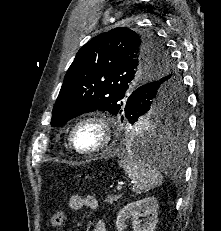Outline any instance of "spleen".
I'll list each match as a JSON object with an SVG mask.
<instances>
[{"label": "spleen", "instance_id": "obj_1", "mask_svg": "<svg viewBox=\"0 0 221 231\" xmlns=\"http://www.w3.org/2000/svg\"><path fill=\"white\" fill-rule=\"evenodd\" d=\"M153 161H144L129 154L118 164L127 176L134 181L132 191L136 194L148 192L162 184L163 177L153 166Z\"/></svg>", "mask_w": 221, "mask_h": 231}]
</instances>
